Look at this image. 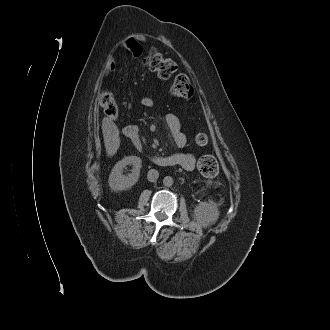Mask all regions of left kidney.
Returning <instances> with one entry per match:
<instances>
[{
  "instance_id": "obj_1",
  "label": "left kidney",
  "mask_w": 330,
  "mask_h": 330,
  "mask_svg": "<svg viewBox=\"0 0 330 330\" xmlns=\"http://www.w3.org/2000/svg\"><path fill=\"white\" fill-rule=\"evenodd\" d=\"M219 210L212 202H200L194 209V218L202 227L214 224L219 218Z\"/></svg>"
}]
</instances>
